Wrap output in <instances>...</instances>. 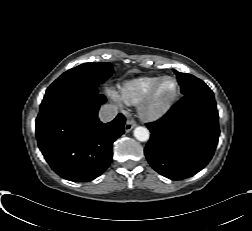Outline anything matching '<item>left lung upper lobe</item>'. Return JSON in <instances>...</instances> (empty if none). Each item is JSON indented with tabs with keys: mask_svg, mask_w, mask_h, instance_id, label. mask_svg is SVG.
Segmentation results:
<instances>
[{
	"mask_svg": "<svg viewBox=\"0 0 252 231\" xmlns=\"http://www.w3.org/2000/svg\"><path fill=\"white\" fill-rule=\"evenodd\" d=\"M178 77V83L181 86L182 94H189L198 91H210V88L200 79L191 74L174 71Z\"/></svg>",
	"mask_w": 252,
	"mask_h": 231,
	"instance_id": "obj_1",
	"label": "left lung upper lobe"
}]
</instances>
